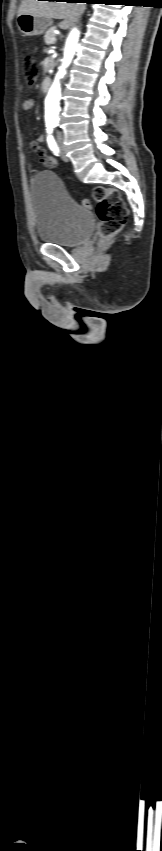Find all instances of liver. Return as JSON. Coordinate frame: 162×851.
<instances>
[{
    "label": "liver",
    "mask_w": 162,
    "mask_h": 851,
    "mask_svg": "<svg viewBox=\"0 0 162 851\" xmlns=\"http://www.w3.org/2000/svg\"><path fill=\"white\" fill-rule=\"evenodd\" d=\"M85 5L82 3H68L57 1L22 0L19 14H31L48 19H61V28L67 29L83 13Z\"/></svg>",
    "instance_id": "obj_1"
}]
</instances>
